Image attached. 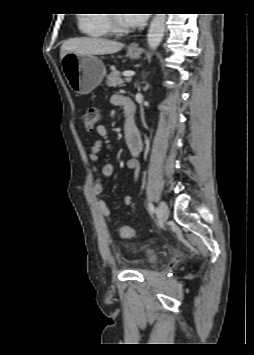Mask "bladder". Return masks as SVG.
I'll use <instances>...</instances> for the list:
<instances>
[{
	"label": "bladder",
	"instance_id": "obj_1",
	"mask_svg": "<svg viewBox=\"0 0 254 355\" xmlns=\"http://www.w3.org/2000/svg\"><path fill=\"white\" fill-rule=\"evenodd\" d=\"M157 262V256L152 249L146 248L144 250V264L146 266L155 265Z\"/></svg>",
	"mask_w": 254,
	"mask_h": 355
}]
</instances>
